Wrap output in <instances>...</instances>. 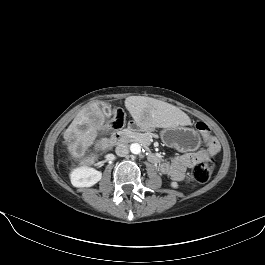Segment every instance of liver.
Here are the masks:
<instances>
[{
  "label": "liver",
  "mask_w": 265,
  "mask_h": 265,
  "mask_svg": "<svg viewBox=\"0 0 265 265\" xmlns=\"http://www.w3.org/2000/svg\"><path fill=\"white\" fill-rule=\"evenodd\" d=\"M100 104L104 105V102L95 101L84 106L64 133L68 151L75 159L83 158L85 150L94 143L98 132L104 130L105 116ZM125 107L141 127L171 128L191 125V119L185 112L154 98L129 96L125 99ZM96 146L106 150L110 147L109 140L103 138ZM95 158L91 154L83 158L80 165H90Z\"/></svg>",
  "instance_id": "liver-1"
}]
</instances>
